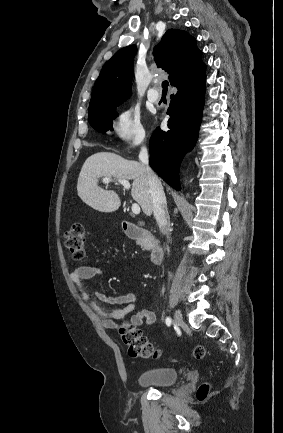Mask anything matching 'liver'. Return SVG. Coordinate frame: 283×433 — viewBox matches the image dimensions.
Masks as SVG:
<instances>
[{
	"mask_svg": "<svg viewBox=\"0 0 283 433\" xmlns=\"http://www.w3.org/2000/svg\"><path fill=\"white\" fill-rule=\"evenodd\" d=\"M100 176L133 180L131 194L147 217H150L153 198L144 164L137 160H126L114 152H96L86 158L78 176V196L95 210L113 212L121 204L120 196L115 190H105L98 186Z\"/></svg>",
	"mask_w": 283,
	"mask_h": 433,
	"instance_id": "6515ba94",
	"label": "liver"
}]
</instances>
